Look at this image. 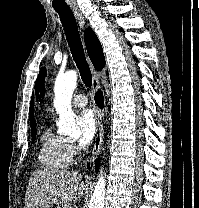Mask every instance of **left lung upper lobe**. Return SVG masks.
Instances as JSON below:
<instances>
[{
  "label": "left lung upper lobe",
  "instance_id": "5c2ea615",
  "mask_svg": "<svg viewBox=\"0 0 199 208\" xmlns=\"http://www.w3.org/2000/svg\"><path fill=\"white\" fill-rule=\"evenodd\" d=\"M45 75H46V69L41 68L39 76L36 81V86H35L36 93H37V100H38V98L40 100V98H42L45 95L44 82H43ZM39 92L41 94L40 96H39Z\"/></svg>",
  "mask_w": 199,
  "mask_h": 208
}]
</instances>
